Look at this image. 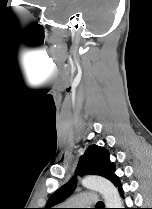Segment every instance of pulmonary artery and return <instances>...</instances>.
<instances>
[{"mask_svg": "<svg viewBox=\"0 0 152 209\" xmlns=\"http://www.w3.org/2000/svg\"><path fill=\"white\" fill-rule=\"evenodd\" d=\"M98 203V195L94 192H82L70 198L64 205L67 208H82Z\"/></svg>", "mask_w": 152, "mask_h": 209, "instance_id": "e3ab8cb5", "label": "pulmonary artery"}]
</instances>
